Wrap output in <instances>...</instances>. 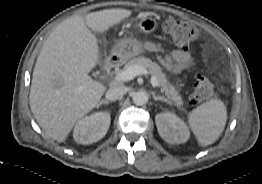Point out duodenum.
<instances>
[{
    "label": "duodenum",
    "instance_id": "1",
    "mask_svg": "<svg viewBox=\"0 0 262 184\" xmlns=\"http://www.w3.org/2000/svg\"><path fill=\"white\" fill-rule=\"evenodd\" d=\"M122 62V58L118 55L113 56L108 62L104 64V72L110 73L112 70H114L117 66H119Z\"/></svg>",
    "mask_w": 262,
    "mask_h": 184
}]
</instances>
